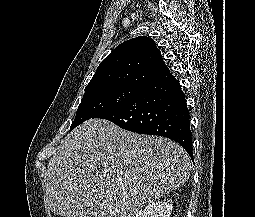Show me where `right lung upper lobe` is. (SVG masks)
<instances>
[{"instance_id": "1", "label": "right lung upper lobe", "mask_w": 255, "mask_h": 217, "mask_svg": "<svg viewBox=\"0 0 255 217\" xmlns=\"http://www.w3.org/2000/svg\"><path fill=\"white\" fill-rule=\"evenodd\" d=\"M170 73L153 39L139 36L121 43L98 66L85 91L102 86H147Z\"/></svg>"}]
</instances>
